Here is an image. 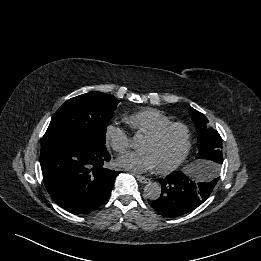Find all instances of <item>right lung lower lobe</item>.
<instances>
[{
    "label": "right lung lower lobe",
    "mask_w": 261,
    "mask_h": 261,
    "mask_svg": "<svg viewBox=\"0 0 261 261\" xmlns=\"http://www.w3.org/2000/svg\"><path fill=\"white\" fill-rule=\"evenodd\" d=\"M111 159L105 145L76 140L41 147L45 187L60 207L88 214L111 195L119 171L105 168Z\"/></svg>",
    "instance_id": "right-lung-lower-lobe-1"
}]
</instances>
